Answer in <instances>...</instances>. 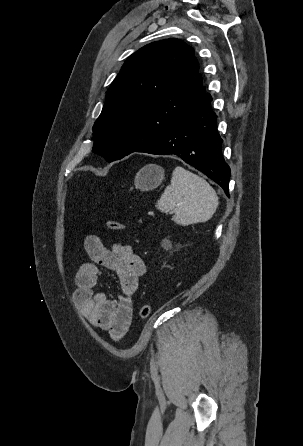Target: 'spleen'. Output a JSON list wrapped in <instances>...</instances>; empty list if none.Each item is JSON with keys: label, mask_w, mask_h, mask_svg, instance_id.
<instances>
[{"label": "spleen", "mask_w": 303, "mask_h": 446, "mask_svg": "<svg viewBox=\"0 0 303 446\" xmlns=\"http://www.w3.org/2000/svg\"><path fill=\"white\" fill-rule=\"evenodd\" d=\"M218 207V196L209 183L198 175L176 167L156 208L161 212L174 211L172 220L189 225L210 220Z\"/></svg>", "instance_id": "3e777b00"}]
</instances>
